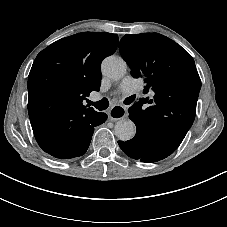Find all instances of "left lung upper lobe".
<instances>
[{
  "label": "left lung upper lobe",
  "instance_id": "left-lung-upper-lobe-1",
  "mask_svg": "<svg viewBox=\"0 0 227 227\" xmlns=\"http://www.w3.org/2000/svg\"><path fill=\"white\" fill-rule=\"evenodd\" d=\"M119 50L133 77L145 78L144 93L155 92L153 99L141 98L129 108L130 119L137 129L177 149L194 121L201 88L193 58L158 33L126 34Z\"/></svg>",
  "mask_w": 227,
  "mask_h": 227
}]
</instances>
